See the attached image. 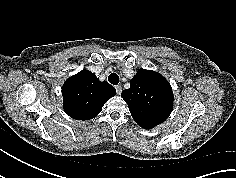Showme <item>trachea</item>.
Segmentation results:
<instances>
[{"instance_id":"obj_1","label":"trachea","mask_w":236,"mask_h":178,"mask_svg":"<svg viewBox=\"0 0 236 178\" xmlns=\"http://www.w3.org/2000/svg\"><path fill=\"white\" fill-rule=\"evenodd\" d=\"M108 81L113 85H117L119 83V76L116 73H111L108 77Z\"/></svg>"}]
</instances>
